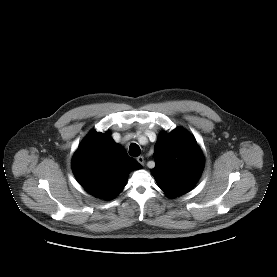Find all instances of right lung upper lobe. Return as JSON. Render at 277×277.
I'll return each instance as SVG.
<instances>
[{
  "instance_id": "right-lung-upper-lobe-1",
  "label": "right lung upper lobe",
  "mask_w": 277,
  "mask_h": 277,
  "mask_svg": "<svg viewBox=\"0 0 277 277\" xmlns=\"http://www.w3.org/2000/svg\"><path fill=\"white\" fill-rule=\"evenodd\" d=\"M141 165L115 143L109 133L92 130L72 159V170L80 185L90 194L111 200L125 186L128 173Z\"/></svg>"
}]
</instances>
